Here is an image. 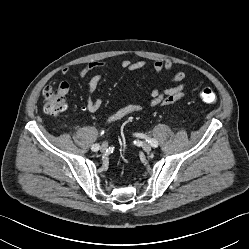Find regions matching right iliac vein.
<instances>
[{
	"label": "right iliac vein",
	"instance_id": "1",
	"mask_svg": "<svg viewBox=\"0 0 249 249\" xmlns=\"http://www.w3.org/2000/svg\"><path fill=\"white\" fill-rule=\"evenodd\" d=\"M107 148H108V144H107V143H103V144L101 145V147H100V150H101L102 152H104V151L107 150Z\"/></svg>",
	"mask_w": 249,
	"mask_h": 249
}]
</instances>
